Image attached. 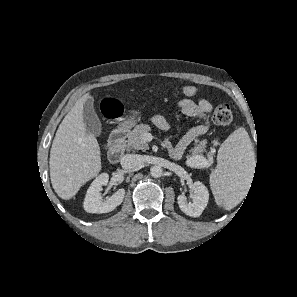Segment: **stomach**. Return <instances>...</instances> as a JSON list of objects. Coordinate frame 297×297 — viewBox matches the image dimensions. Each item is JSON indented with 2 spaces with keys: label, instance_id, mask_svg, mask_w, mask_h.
<instances>
[{
  "label": "stomach",
  "instance_id": "1",
  "mask_svg": "<svg viewBox=\"0 0 297 297\" xmlns=\"http://www.w3.org/2000/svg\"><path fill=\"white\" fill-rule=\"evenodd\" d=\"M135 114H137V112L136 113L133 112L129 116V118L126 119V121L122 124V126L123 127H131V126L135 125V122H136V120H135Z\"/></svg>",
  "mask_w": 297,
  "mask_h": 297
}]
</instances>
